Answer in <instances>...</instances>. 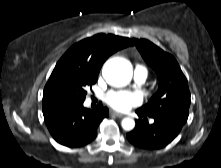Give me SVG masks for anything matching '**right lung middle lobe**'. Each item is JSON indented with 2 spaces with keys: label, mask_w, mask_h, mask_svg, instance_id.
<instances>
[{
  "label": "right lung middle lobe",
  "mask_w": 221,
  "mask_h": 168,
  "mask_svg": "<svg viewBox=\"0 0 221 168\" xmlns=\"http://www.w3.org/2000/svg\"><path fill=\"white\" fill-rule=\"evenodd\" d=\"M98 73L71 63L56 66L45 86L44 94L49 99L84 101L86 87L96 83Z\"/></svg>",
  "instance_id": "right-lung-middle-lobe-1"
}]
</instances>
